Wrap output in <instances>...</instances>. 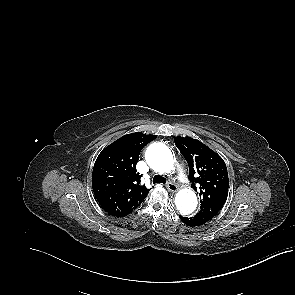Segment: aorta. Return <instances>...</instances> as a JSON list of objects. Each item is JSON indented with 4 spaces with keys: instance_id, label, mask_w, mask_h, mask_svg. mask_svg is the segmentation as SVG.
<instances>
[{
    "instance_id": "762f6f07",
    "label": "aorta",
    "mask_w": 295,
    "mask_h": 295,
    "mask_svg": "<svg viewBox=\"0 0 295 295\" xmlns=\"http://www.w3.org/2000/svg\"><path fill=\"white\" fill-rule=\"evenodd\" d=\"M146 161L157 172L169 173L174 168L172 152L161 142L152 143L147 148ZM175 205L181 215H192L198 205L195 192L190 188L179 190L175 196Z\"/></svg>"
}]
</instances>
